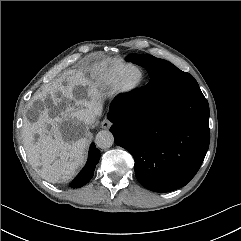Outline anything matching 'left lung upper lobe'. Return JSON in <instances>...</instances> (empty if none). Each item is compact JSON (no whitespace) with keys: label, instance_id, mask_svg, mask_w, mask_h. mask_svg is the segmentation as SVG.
<instances>
[{"label":"left lung upper lobe","instance_id":"1","mask_svg":"<svg viewBox=\"0 0 241 241\" xmlns=\"http://www.w3.org/2000/svg\"><path fill=\"white\" fill-rule=\"evenodd\" d=\"M126 61L146 68L149 76L155 74L163 76L167 80L170 94L174 98L199 89L197 81L189 73L181 71L166 60L155 58L149 54H131L126 57Z\"/></svg>","mask_w":241,"mask_h":241}]
</instances>
